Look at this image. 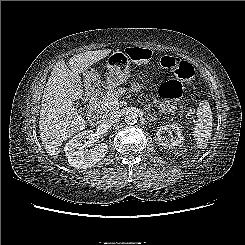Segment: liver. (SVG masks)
<instances>
[{
  "instance_id": "1",
  "label": "liver",
  "mask_w": 245,
  "mask_h": 245,
  "mask_svg": "<svg viewBox=\"0 0 245 245\" xmlns=\"http://www.w3.org/2000/svg\"><path fill=\"white\" fill-rule=\"evenodd\" d=\"M110 52L111 49H103L77 54L69 59L71 70L64 60L56 62L43 92L39 119L40 138L52 158H58L63 141L87 125L73 105L85 94L79 74Z\"/></svg>"
}]
</instances>
